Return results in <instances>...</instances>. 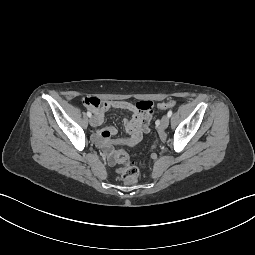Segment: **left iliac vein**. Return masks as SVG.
<instances>
[{
  "label": "left iliac vein",
  "mask_w": 255,
  "mask_h": 255,
  "mask_svg": "<svg viewBox=\"0 0 255 255\" xmlns=\"http://www.w3.org/2000/svg\"><path fill=\"white\" fill-rule=\"evenodd\" d=\"M169 125V117L167 115H164L161 119L160 127L162 129H166Z\"/></svg>",
  "instance_id": "1"
}]
</instances>
